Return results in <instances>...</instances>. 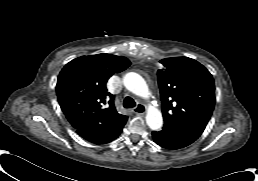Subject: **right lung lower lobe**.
<instances>
[{"mask_svg": "<svg viewBox=\"0 0 258 181\" xmlns=\"http://www.w3.org/2000/svg\"><path fill=\"white\" fill-rule=\"evenodd\" d=\"M126 121H127V118L120 119L111 123L101 124L97 127L87 129V130H81L77 132L84 139L92 143L104 144L118 137Z\"/></svg>", "mask_w": 258, "mask_h": 181, "instance_id": "right-lung-lower-lobe-1", "label": "right lung lower lobe"}]
</instances>
